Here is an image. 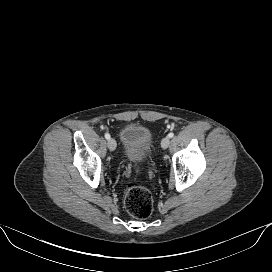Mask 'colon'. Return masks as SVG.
<instances>
[{"instance_id":"obj_1","label":"colon","mask_w":272,"mask_h":272,"mask_svg":"<svg viewBox=\"0 0 272 272\" xmlns=\"http://www.w3.org/2000/svg\"><path fill=\"white\" fill-rule=\"evenodd\" d=\"M124 204L127 212L138 219L148 218L153 211L151 193L146 188L133 183L128 184L125 189Z\"/></svg>"}]
</instances>
